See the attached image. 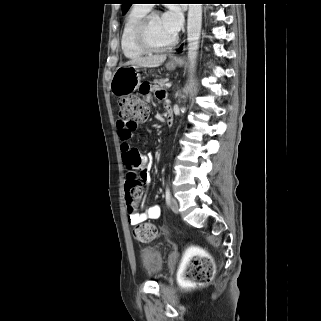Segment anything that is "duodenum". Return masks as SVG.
<instances>
[{
    "label": "duodenum",
    "instance_id": "duodenum-1",
    "mask_svg": "<svg viewBox=\"0 0 321 321\" xmlns=\"http://www.w3.org/2000/svg\"><path fill=\"white\" fill-rule=\"evenodd\" d=\"M166 122L168 126H171L173 124V114L172 110L168 111L167 110V115H166Z\"/></svg>",
    "mask_w": 321,
    "mask_h": 321
}]
</instances>
